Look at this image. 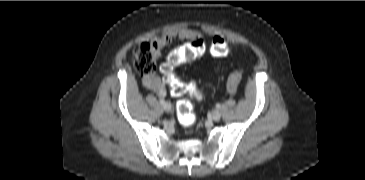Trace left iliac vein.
<instances>
[{
  "mask_svg": "<svg viewBox=\"0 0 365 180\" xmlns=\"http://www.w3.org/2000/svg\"><path fill=\"white\" fill-rule=\"evenodd\" d=\"M211 118L214 121H218L221 118V113L218 110H215L212 112Z\"/></svg>",
  "mask_w": 365,
  "mask_h": 180,
  "instance_id": "4c4485c4",
  "label": "left iliac vein"
}]
</instances>
